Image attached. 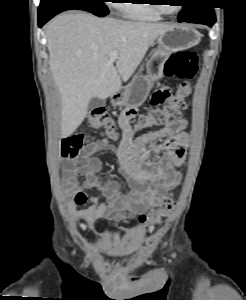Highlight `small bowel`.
Returning a JSON list of instances; mask_svg holds the SVG:
<instances>
[{"instance_id":"1","label":"small bowel","mask_w":246,"mask_h":300,"mask_svg":"<svg viewBox=\"0 0 246 300\" xmlns=\"http://www.w3.org/2000/svg\"><path fill=\"white\" fill-rule=\"evenodd\" d=\"M158 92L169 94V89L163 87ZM136 113L135 107L125 108L120 113L122 139L118 145L86 137L77 160L68 161L63 169V191L70 198L68 210L74 221H84L89 227L100 220L119 222L157 206L168 191L180 183L178 169L184 162L189 143L184 131L186 120L181 118L166 125L169 137L157 148L158 160L155 161L134 141L131 120ZM102 150L113 151L118 156L119 172L128 180L129 194L122 193L117 180L106 179L97 156ZM92 189L97 190V195L88 197L85 191ZM87 203V208H79Z\"/></svg>"}]
</instances>
